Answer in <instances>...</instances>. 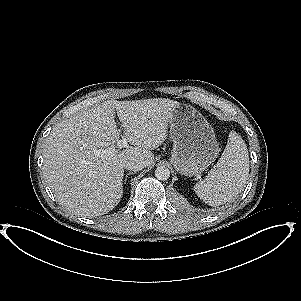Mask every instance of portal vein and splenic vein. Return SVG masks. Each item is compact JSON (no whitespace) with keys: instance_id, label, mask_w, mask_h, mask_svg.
<instances>
[{"instance_id":"18ae733b","label":"portal vein and splenic vein","mask_w":301,"mask_h":301,"mask_svg":"<svg viewBox=\"0 0 301 301\" xmlns=\"http://www.w3.org/2000/svg\"><path fill=\"white\" fill-rule=\"evenodd\" d=\"M128 144V140L126 138H122L119 142H118V147L121 149V148H127ZM112 154V152H111Z\"/></svg>"}]
</instances>
